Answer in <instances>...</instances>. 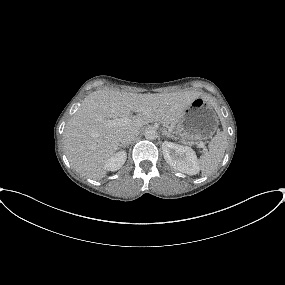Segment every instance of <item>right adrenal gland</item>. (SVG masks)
Returning a JSON list of instances; mask_svg holds the SVG:
<instances>
[{
	"instance_id": "2a0ac1e0",
	"label": "right adrenal gland",
	"mask_w": 285,
	"mask_h": 285,
	"mask_svg": "<svg viewBox=\"0 0 285 285\" xmlns=\"http://www.w3.org/2000/svg\"><path fill=\"white\" fill-rule=\"evenodd\" d=\"M119 147H120V148H121V147H122V148H128V147H129V144H126V145L121 144Z\"/></svg>"
}]
</instances>
